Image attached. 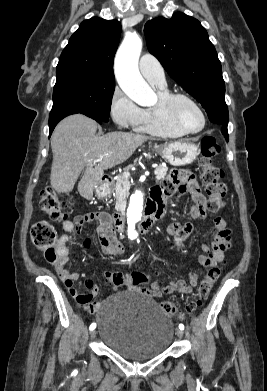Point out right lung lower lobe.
Returning <instances> with one entry per match:
<instances>
[{"mask_svg": "<svg viewBox=\"0 0 267 391\" xmlns=\"http://www.w3.org/2000/svg\"><path fill=\"white\" fill-rule=\"evenodd\" d=\"M71 114H75V113H67V114H64V115H62V116L56 118V119L50 120V121H49L50 135H51L53 129L55 128V126L57 125V123H58L60 120H62L64 117H66V116H68V115H71ZM89 117L95 119V120H96L97 122H99L100 124L103 123V121H101L100 119H98V118H96V117H94V116H89Z\"/></svg>", "mask_w": 267, "mask_h": 391, "instance_id": "right-lung-lower-lobe-1", "label": "right lung lower lobe"}]
</instances>
